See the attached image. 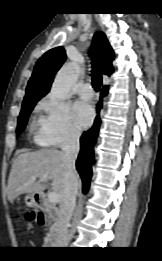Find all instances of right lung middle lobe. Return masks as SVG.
Wrapping results in <instances>:
<instances>
[{"mask_svg": "<svg viewBox=\"0 0 162 261\" xmlns=\"http://www.w3.org/2000/svg\"><path fill=\"white\" fill-rule=\"evenodd\" d=\"M40 98L41 97L23 101L21 112L18 117L17 133H21L24 130L28 117L36 103L40 100Z\"/></svg>", "mask_w": 162, "mask_h": 261, "instance_id": "dd1d6c3e", "label": "right lung middle lobe"}]
</instances>
